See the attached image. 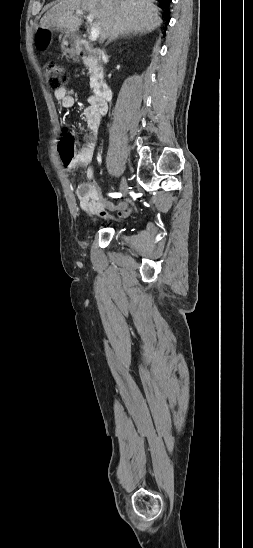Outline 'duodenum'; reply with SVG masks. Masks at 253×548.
Masks as SVG:
<instances>
[{
    "label": "duodenum",
    "instance_id": "410a0bca",
    "mask_svg": "<svg viewBox=\"0 0 253 548\" xmlns=\"http://www.w3.org/2000/svg\"><path fill=\"white\" fill-rule=\"evenodd\" d=\"M76 51L79 57L87 60H98L101 57V50L92 48L84 42L76 44ZM94 90L96 95L103 100L112 98V90L105 82H98Z\"/></svg>",
    "mask_w": 253,
    "mask_h": 548
}]
</instances>
